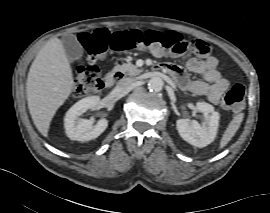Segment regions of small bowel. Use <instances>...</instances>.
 Instances as JSON below:
<instances>
[{"label":"small bowel","instance_id":"small-bowel-1","mask_svg":"<svg viewBox=\"0 0 270 213\" xmlns=\"http://www.w3.org/2000/svg\"><path fill=\"white\" fill-rule=\"evenodd\" d=\"M217 64L218 59L211 53L210 49L203 55L202 59L188 60L186 70L200 76L202 80L188 81L181 83V85L196 94L206 96L212 104H218L221 96L229 89L230 82L222 77L216 69ZM159 69L170 73L177 80L183 76L182 68L171 63H161Z\"/></svg>","mask_w":270,"mask_h":213}]
</instances>
